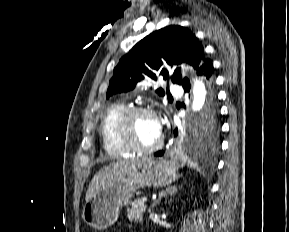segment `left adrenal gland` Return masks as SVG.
I'll list each match as a JSON object with an SVG mask.
<instances>
[{"mask_svg":"<svg viewBox=\"0 0 289 232\" xmlns=\"http://www.w3.org/2000/svg\"><path fill=\"white\" fill-rule=\"evenodd\" d=\"M176 192H177L176 186H171V187H168L165 191H161L159 193V198L154 201V203L152 204V207H154L157 203H160V201L163 197L167 196L168 194L173 195Z\"/></svg>","mask_w":289,"mask_h":232,"instance_id":"1","label":"left adrenal gland"}]
</instances>
